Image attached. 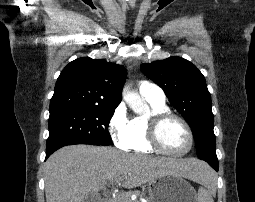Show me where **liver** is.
Masks as SVG:
<instances>
[{
  "instance_id": "6515ba94",
  "label": "liver",
  "mask_w": 255,
  "mask_h": 202,
  "mask_svg": "<svg viewBox=\"0 0 255 202\" xmlns=\"http://www.w3.org/2000/svg\"><path fill=\"white\" fill-rule=\"evenodd\" d=\"M199 165L206 166L194 158L151 157L92 145L66 146L45 163L46 202H84L86 195L97 194L109 181H122L124 188L165 174L198 181Z\"/></svg>"
}]
</instances>
